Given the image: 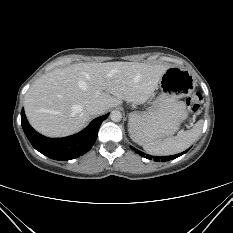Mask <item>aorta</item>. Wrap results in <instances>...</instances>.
I'll return each instance as SVG.
<instances>
[{"instance_id":"obj_1","label":"aorta","mask_w":233,"mask_h":233,"mask_svg":"<svg viewBox=\"0 0 233 233\" xmlns=\"http://www.w3.org/2000/svg\"><path fill=\"white\" fill-rule=\"evenodd\" d=\"M110 118L114 122H119L122 119V113L118 110H114L110 113Z\"/></svg>"}]
</instances>
